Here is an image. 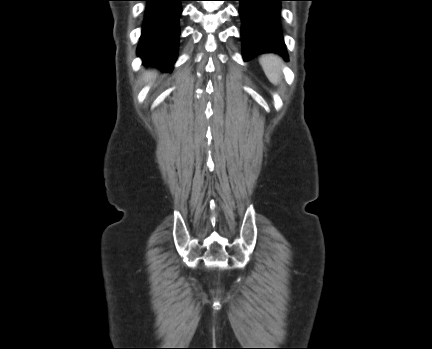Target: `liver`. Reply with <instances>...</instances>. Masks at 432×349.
Masks as SVG:
<instances>
[{"label":"liver","instance_id":"1","mask_svg":"<svg viewBox=\"0 0 432 349\" xmlns=\"http://www.w3.org/2000/svg\"><path fill=\"white\" fill-rule=\"evenodd\" d=\"M153 77V74L151 72H148L146 75V80L149 81Z\"/></svg>","mask_w":432,"mask_h":349}]
</instances>
